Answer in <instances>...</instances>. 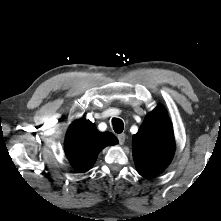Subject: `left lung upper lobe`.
<instances>
[{
    "label": "left lung upper lobe",
    "mask_w": 221,
    "mask_h": 221,
    "mask_svg": "<svg viewBox=\"0 0 221 221\" xmlns=\"http://www.w3.org/2000/svg\"><path fill=\"white\" fill-rule=\"evenodd\" d=\"M132 150L138 173L151 178L161 173L171 162L175 141L170 119L158 105L144 119L132 138Z\"/></svg>",
    "instance_id": "obj_1"
}]
</instances>
